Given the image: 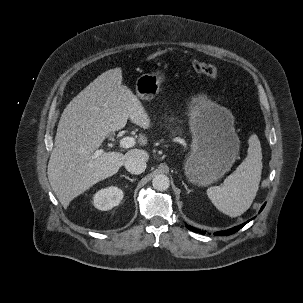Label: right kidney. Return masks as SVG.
Listing matches in <instances>:
<instances>
[{"label": "right kidney", "instance_id": "right-kidney-1", "mask_svg": "<svg viewBox=\"0 0 303 303\" xmlns=\"http://www.w3.org/2000/svg\"><path fill=\"white\" fill-rule=\"evenodd\" d=\"M123 199V191L115 186L104 188L93 196V205L102 211H107L117 206Z\"/></svg>", "mask_w": 303, "mask_h": 303}]
</instances>
